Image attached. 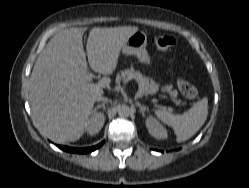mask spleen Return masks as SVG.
I'll list each match as a JSON object with an SVG mask.
<instances>
[{"label": "spleen", "instance_id": "obj_1", "mask_svg": "<svg viewBox=\"0 0 249 188\" xmlns=\"http://www.w3.org/2000/svg\"><path fill=\"white\" fill-rule=\"evenodd\" d=\"M155 115L174 129L177 142H183L191 138L205 123L208 115V100L201 99L182 115H173L166 110H156Z\"/></svg>", "mask_w": 249, "mask_h": 188}]
</instances>
